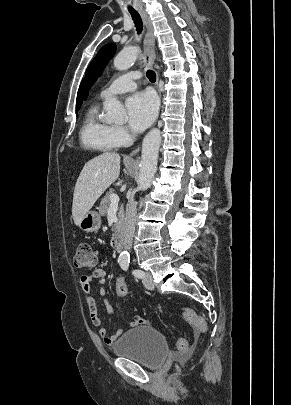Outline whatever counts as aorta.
<instances>
[{"instance_id":"obj_1","label":"aorta","mask_w":291,"mask_h":405,"mask_svg":"<svg viewBox=\"0 0 291 405\" xmlns=\"http://www.w3.org/2000/svg\"><path fill=\"white\" fill-rule=\"evenodd\" d=\"M138 56V49L135 46L124 48L114 59V67L117 70L124 71L129 69ZM105 120L109 122L123 121L126 112L123 105L116 98L109 99L104 104ZM161 144V132L159 129H152L144 138L142 143V154L140 161V173L138 177V189L147 190L152 183L157 171V161L159 148ZM129 253L124 250L120 253L119 259L127 261Z\"/></svg>"}]
</instances>
